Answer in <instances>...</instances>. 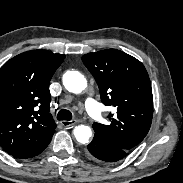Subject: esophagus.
<instances>
[{"instance_id": "esophagus-1", "label": "esophagus", "mask_w": 183, "mask_h": 183, "mask_svg": "<svg viewBox=\"0 0 183 183\" xmlns=\"http://www.w3.org/2000/svg\"><path fill=\"white\" fill-rule=\"evenodd\" d=\"M76 120H70V121H61V125L64 127H71L76 124Z\"/></svg>"}]
</instances>
